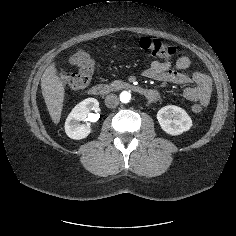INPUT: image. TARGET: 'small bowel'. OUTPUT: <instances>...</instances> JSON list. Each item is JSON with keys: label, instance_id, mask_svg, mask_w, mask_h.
I'll use <instances>...</instances> for the list:
<instances>
[{"label": "small bowel", "instance_id": "1", "mask_svg": "<svg viewBox=\"0 0 236 236\" xmlns=\"http://www.w3.org/2000/svg\"><path fill=\"white\" fill-rule=\"evenodd\" d=\"M192 61L187 56H181L175 61H153L144 71L145 77L160 82L172 83L176 85H189L184 89V97L191 101L207 106L212 94V81L204 73L195 71L189 74L187 70ZM155 95L149 98L151 101L159 99V93L151 89Z\"/></svg>", "mask_w": 236, "mask_h": 236}]
</instances>
